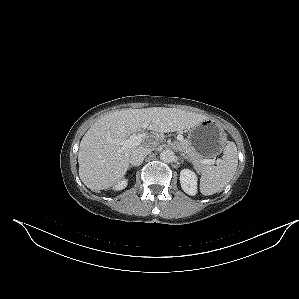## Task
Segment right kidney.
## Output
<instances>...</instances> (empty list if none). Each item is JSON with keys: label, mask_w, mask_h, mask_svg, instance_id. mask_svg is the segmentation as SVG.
I'll list each match as a JSON object with an SVG mask.
<instances>
[{"label": "right kidney", "mask_w": 299, "mask_h": 299, "mask_svg": "<svg viewBox=\"0 0 299 299\" xmlns=\"http://www.w3.org/2000/svg\"><path fill=\"white\" fill-rule=\"evenodd\" d=\"M128 184V180L123 179L113 186V189L118 191L124 189Z\"/></svg>", "instance_id": "1"}]
</instances>
